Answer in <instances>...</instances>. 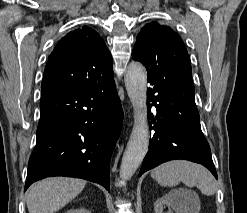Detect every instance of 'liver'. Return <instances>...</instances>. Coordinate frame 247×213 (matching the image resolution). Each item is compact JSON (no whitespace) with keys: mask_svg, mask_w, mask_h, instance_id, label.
<instances>
[{"mask_svg":"<svg viewBox=\"0 0 247 213\" xmlns=\"http://www.w3.org/2000/svg\"><path fill=\"white\" fill-rule=\"evenodd\" d=\"M86 181L77 178L52 177L32 185L27 192L29 213H54L75 198Z\"/></svg>","mask_w":247,"mask_h":213,"instance_id":"liver-1","label":"liver"}]
</instances>
